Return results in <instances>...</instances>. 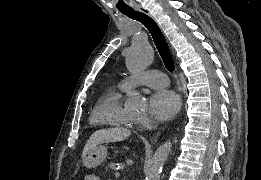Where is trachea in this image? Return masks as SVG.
I'll return each mask as SVG.
<instances>
[{
	"label": "trachea",
	"instance_id": "trachea-1",
	"mask_svg": "<svg viewBox=\"0 0 261 180\" xmlns=\"http://www.w3.org/2000/svg\"><path fill=\"white\" fill-rule=\"evenodd\" d=\"M121 13L129 18H132L133 20L141 22L147 28V30L152 35V38L157 50L161 55L164 65L166 66L167 70H169V72H172L174 70L173 58L168 43L166 42L165 37L163 36L156 22H154V20H152V18H150L148 15H145V13H141L140 11L137 12L133 9L124 10Z\"/></svg>",
	"mask_w": 261,
	"mask_h": 180
}]
</instances>
